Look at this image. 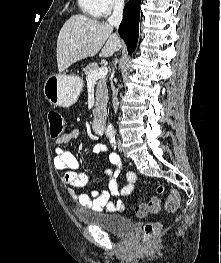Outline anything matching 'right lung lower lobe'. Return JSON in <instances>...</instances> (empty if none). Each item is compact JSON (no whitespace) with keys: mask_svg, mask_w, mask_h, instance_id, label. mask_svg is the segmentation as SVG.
<instances>
[{"mask_svg":"<svg viewBox=\"0 0 221 263\" xmlns=\"http://www.w3.org/2000/svg\"><path fill=\"white\" fill-rule=\"evenodd\" d=\"M141 0H129L123 10V20L119 26V35L125 41L129 54L136 48L139 34Z\"/></svg>","mask_w":221,"mask_h":263,"instance_id":"98d812e1","label":"right lung lower lobe"}]
</instances>
